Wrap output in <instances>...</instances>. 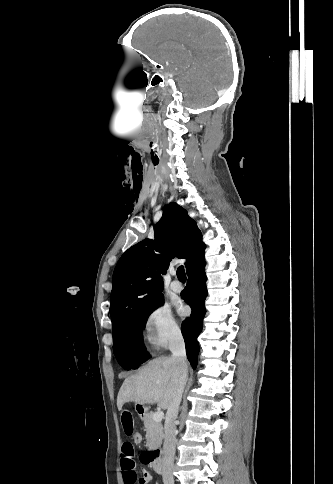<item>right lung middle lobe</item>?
<instances>
[{"label": "right lung middle lobe", "mask_w": 333, "mask_h": 484, "mask_svg": "<svg viewBox=\"0 0 333 484\" xmlns=\"http://www.w3.org/2000/svg\"><path fill=\"white\" fill-rule=\"evenodd\" d=\"M164 303L163 296L134 312L120 325L113 335V351L119 364L126 370L137 368L150 355L143 344L142 331L148 316Z\"/></svg>", "instance_id": "dd1d6c3e"}]
</instances>
